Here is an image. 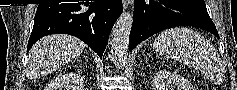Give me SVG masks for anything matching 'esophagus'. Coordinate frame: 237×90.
I'll return each mask as SVG.
<instances>
[{"label": "esophagus", "mask_w": 237, "mask_h": 90, "mask_svg": "<svg viewBox=\"0 0 237 90\" xmlns=\"http://www.w3.org/2000/svg\"><path fill=\"white\" fill-rule=\"evenodd\" d=\"M131 4V0H123V8L126 9Z\"/></svg>", "instance_id": "esophagus-1"}]
</instances>
